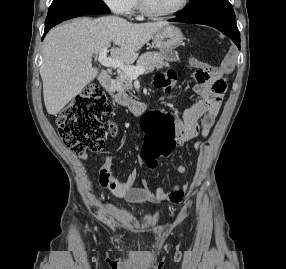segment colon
Masks as SVG:
<instances>
[{
	"label": "colon",
	"instance_id": "colon-1",
	"mask_svg": "<svg viewBox=\"0 0 286 269\" xmlns=\"http://www.w3.org/2000/svg\"><path fill=\"white\" fill-rule=\"evenodd\" d=\"M160 59L163 62H180L179 49H159ZM184 66H194L196 83L191 88H198L202 93L212 95V100H221L224 95L225 80L222 70L228 65H208L207 61L191 58L184 61ZM173 70L166 74H159L157 82L169 87L170 79L174 77ZM111 106L108 103L101 86L91 84L86 87L70 104L57 116L56 124L62 141L78 156L85 151H98L102 148L108 135L116 133V124L111 119ZM140 116L139 128L144 132V150L140 155L145 158L148 168L154 169L159 159H167L172 151L179 145V135L176 133L173 121V111L164 107L152 106ZM184 192L177 194L182 200Z\"/></svg>",
	"mask_w": 286,
	"mask_h": 269
}]
</instances>
